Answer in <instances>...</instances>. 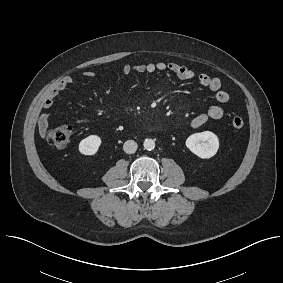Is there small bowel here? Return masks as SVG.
<instances>
[{
	"mask_svg": "<svg viewBox=\"0 0 283 283\" xmlns=\"http://www.w3.org/2000/svg\"><path fill=\"white\" fill-rule=\"evenodd\" d=\"M120 71L123 75L168 71L182 80H193L197 78L201 86L215 93V100L218 104L209 107L204 113L195 116L190 121V127L193 129L200 128L209 120L221 119L224 115V110L221 105L226 104L230 99L229 94L222 89L221 81L218 78L211 77L204 73L196 75L195 72L190 68L175 62H150L138 65H124L121 67ZM83 76L85 78L92 79L94 78L95 74L91 71H87L83 74ZM72 82L73 80L70 76L63 78V80L58 84V86L54 88L50 92L48 97L44 100L42 104V111L38 116V128L41 133H44L50 124L49 116L45 111L52 107L54 99L66 88H68L72 84ZM85 121H87V119L79 120V122Z\"/></svg>",
	"mask_w": 283,
	"mask_h": 283,
	"instance_id": "c3829d8e",
	"label": "small bowel"
}]
</instances>
